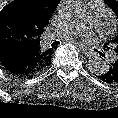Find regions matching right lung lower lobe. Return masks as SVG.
Returning a JSON list of instances; mask_svg holds the SVG:
<instances>
[{
    "instance_id": "98d812e1",
    "label": "right lung lower lobe",
    "mask_w": 118,
    "mask_h": 118,
    "mask_svg": "<svg viewBox=\"0 0 118 118\" xmlns=\"http://www.w3.org/2000/svg\"><path fill=\"white\" fill-rule=\"evenodd\" d=\"M37 57L33 51L19 49L8 45L0 48V65L10 74L18 78H32L40 72L36 71Z\"/></svg>"
}]
</instances>
